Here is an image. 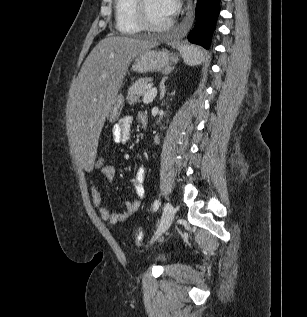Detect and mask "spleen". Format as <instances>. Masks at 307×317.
<instances>
[{"instance_id":"3e777b00","label":"spleen","mask_w":307,"mask_h":317,"mask_svg":"<svg viewBox=\"0 0 307 317\" xmlns=\"http://www.w3.org/2000/svg\"><path fill=\"white\" fill-rule=\"evenodd\" d=\"M182 57L185 62L189 65H196L199 63L200 59H202V52L193 47H183L182 48Z\"/></svg>"}]
</instances>
